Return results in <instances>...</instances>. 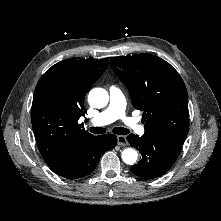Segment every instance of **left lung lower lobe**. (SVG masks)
Instances as JSON below:
<instances>
[{
  "label": "left lung lower lobe",
  "mask_w": 221,
  "mask_h": 221,
  "mask_svg": "<svg viewBox=\"0 0 221 221\" xmlns=\"http://www.w3.org/2000/svg\"><path fill=\"white\" fill-rule=\"evenodd\" d=\"M132 147L140 150L141 160L130 170L137 176L153 179L164 175L177 160L184 141L144 133L127 136Z\"/></svg>",
  "instance_id": "0a47b994"
}]
</instances>
